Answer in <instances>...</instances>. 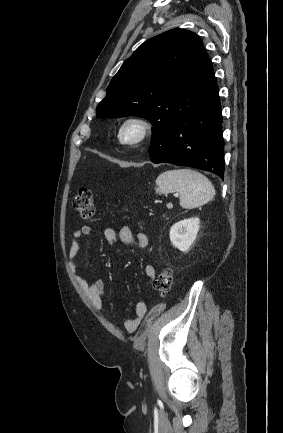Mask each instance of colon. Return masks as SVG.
Returning a JSON list of instances; mask_svg holds the SVG:
<instances>
[{
	"label": "colon",
	"mask_w": 283,
	"mask_h": 433,
	"mask_svg": "<svg viewBox=\"0 0 283 433\" xmlns=\"http://www.w3.org/2000/svg\"><path fill=\"white\" fill-rule=\"evenodd\" d=\"M74 211L84 220H92L95 213L94 197L89 189H80L72 200ZM174 274L170 268L162 270L153 280V290L159 295L169 292Z\"/></svg>",
	"instance_id": "obj_1"
}]
</instances>
